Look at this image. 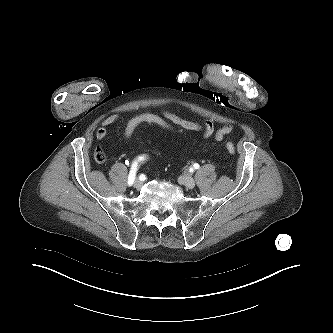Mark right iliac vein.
Returning a JSON list of instances; mask_svg holds the SVG:
<instances>
[{
	"label": "right iliac vein",
	"mask_w": 333,
	"mask_h": 333,
	"mask_svg": "<svg viewBox=\"0 0 333 333\" xmlns=\"http://www.w3.org/2000/svg\"><path fill=\"white\" fill-rule=\"evenodd\" d=\"M141 186H142V182L138 178H136L134 181V187L138 189Z\"/></svg>",
	"instance_id": "obj_1"
}]
</instances>
